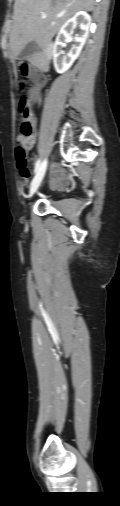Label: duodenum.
<instances>
[{"instance_id":"duodenum-1","label":"duodenum","mask_w":120,"mask_h":506,"mask_svg":"<svg viewBox=\"0 0 120 506\" xmlns=\"http://www.w3.org/2000/svg\"><path fill=\"white\" fill-rule=\"evenodd\" d=\"M47 52H48V53H50V52H51V48H48V49H47Z\"/></svg>"}]
</instances>
